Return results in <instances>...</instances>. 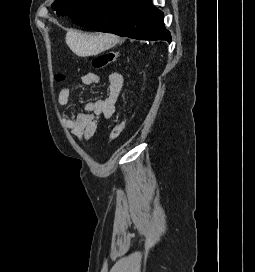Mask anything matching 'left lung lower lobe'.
<instances>
[{
  "instance_id": "left-lung-lower-lobe-1",
  "label": "left lung lower lobe",
  "mask_w": 255,
  "mask_h": 272,
  "mask_svg": "<svg viewBox=\"0 0 255 272\" xmlns=\"http://www.w3.org/2000/svg\"><path fill=\"white\" fill-rule=\"evenodd\" d=\"M164 14L151 0H90L72 14L73 23L138 40H166Z\"/></svg>"
}]
</instances>
